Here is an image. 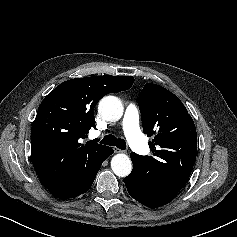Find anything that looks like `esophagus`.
<instances>
[{
  "label": "esophagus",
  "instance_id": "esophagus-1",
  "mask_svg": "<svg viewBox=\"0 0 237 237\" xmlns=\"http://www.w3.org/2000/svg\"><path fill=\"white\" fill-rule=\"evenodd\" d=\"M115 153H126V151L120 150L118 148H114Z\"/></svg>",
  "mask_w": 237,
  "mask_h": 237
}]
</instances>
